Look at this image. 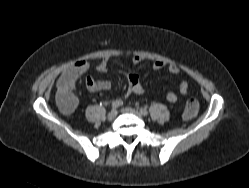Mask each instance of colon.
<instances>
[{
  "label": "colon",
  "mask_w": 249,
  "mask_h": 188,
  "mask_svg": "<svg viewBox=\"0 0 249 188\" xmlns=\"http://www.w3.org/2000/svg\"><path fill=\"white\" fill-rule=\"evenodd\" d=\"M56 100L62 111L66 113L72 112L77 104L75 96L68 90L57 89ZM199 104L198 101L194 98L187 99L183 111V118L185 120H191L196 117L198 113Z\"/></svg>",
  "instance_id": "colon-1"
}]
</instances>
